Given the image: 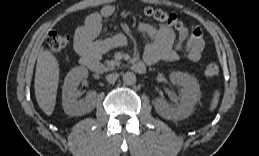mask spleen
<instances>
[{"label": "spleen", "mask_w": 259, "mask_h": 156, "mask_svg": "<svg viewBox=\"0 0 259 156\" xmlns=\"http://www.w3.org/2000/svg\"><path fill=\"white\" fill-rule=\"evenodd\" d=\"M219 97H220V91L217 89L214 91V94H213V98L210 104V112H213L216 109L219 102Z\"/></svg>", "instance_id": "3e777b00"}]
</instances>
